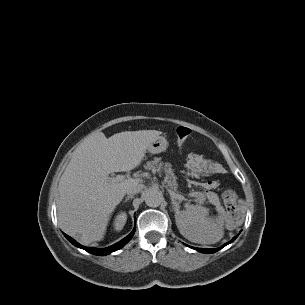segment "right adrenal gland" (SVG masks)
<instances>
[{
	"instance_id": "1",
	"label": "right adrenal gland",
	"mask_w": 305,
	"mask_h": 305,
	"mask_svg": "<svg viewBox=\"0 0 305 305\" xmlns=\"http://www.w3.org/2000/svg\"><path fill=\"white\" fill-rule=\"evenodd\" d=\"M133 197H134L133 194L128 195V196L125 198L124 202H127L129 199H132Z\"/></svg>"
}]
</instances>
